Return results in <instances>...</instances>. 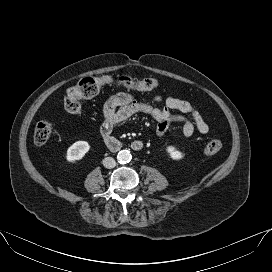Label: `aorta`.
<instances>
[{
    "label": "aorta",
    "mask_w": 272,
    "mask_h": 272,
    "mask_svg": "<svg viewBox=\"0 0 272 272\" xmlns=\"http://www.w3.org/2000/svg\"><path fill=\"white\" fill-rule=\"evenodd\" d=\"M132 155L129 150H121L117 154V160L119 163H128L130 162Z\"/></svg>",
    "instance_id": "aorta-1"
}]
</instances>
